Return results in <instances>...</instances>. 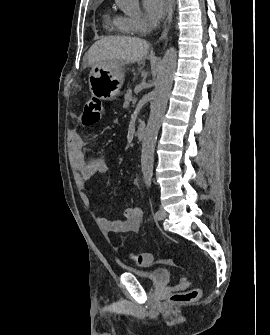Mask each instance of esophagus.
<instances>
[{
    "mask_svg": "<svg viewBox=\"0 0 270 335\" xmlns=\"http://www.w3.org/2000/svg\"><path fill=\"white\" fill-rule=\"evenodd\" d=\"M168 1V13H167V17L165 20V24H164V28L160 37V40H162L163 38H166L167 33L169 31L170 25L172 23V15H173V0H167Z\"/></svg>",
    "mask_w": 270,
    "mask_h": 335,
    "instance_id": "1",
    "label": "esophagus"
}]
</instances>
